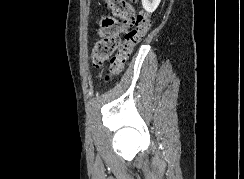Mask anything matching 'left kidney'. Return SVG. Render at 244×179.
Segmentation results:
<instances>
[{
	"instance_id": "5707ae66",
	"label": "left kidney",
	"mask_w": 244,
	"mask_h": 179,
	"mask_svg": "<svg viewBox=\"0 0 244 179\" xmlns=\"http://www.w3.org/2000/svg\"><path fill=\"white\" fill-rule=\"evenodd\" d=\"M161 0H142V6L146 12H155Z\"/></svg>"
}]
</instances>
